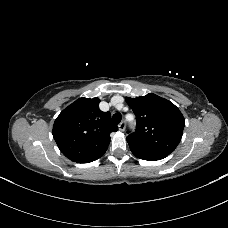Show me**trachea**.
Wrapping results in <instances>:
<instances>
[{"mask_svg":"<svg viewBox=\"0 0 228 228\" xmlns=\"http://www.w3.org/2000/svg\"><path fill=\"white\" fill-rule=\"evenodd\" d=\"M121 119H122V116H121V114H119V113H115V114L112 116V120H113L114 124H119L120 121H121Z\"/></svg>","mask_w":228,"mask_h":228,"instance_id":"trachea-1","label":"trachea"}]
</instances>
